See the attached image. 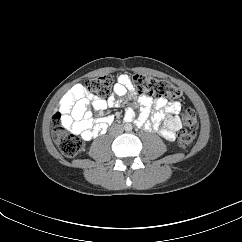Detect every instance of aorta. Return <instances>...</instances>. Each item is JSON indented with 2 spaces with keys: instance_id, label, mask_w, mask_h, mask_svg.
I'll use <instances>...</instances> for the list:
<instances>
[{
  "instance_id": "obj_1",
  "label": "aorta",
  "mask_w": 242,
  "mask_h": 242,
  "mask_svg": "<svg viewBox=\"0 0 242 242\" xmlns=\"http://www.w3.org/2000/svg\"><path fill=\"white\" fill-rule=\"evenodd\" d=\"M125 129L126 130H131L132 129V126L131 125H126Z\"/></svg>"
}]
</instances>
